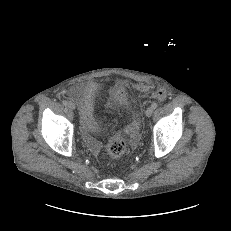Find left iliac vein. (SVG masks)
I'll return each mask as SVG.
<instances>
[{
	"label": "left iliac vein",
	"instance_id": "left-iliac-vein-1",
	"mask_svg": "<svg viewBox=\"0 0 231 231\" xmlns=\"http://www.w3.org/2000/svg\"><path fill=\"white\" fill-rule=\"evenodd\" d=\"M153 108L150 106V107H148L147 109H146V111H145V114H146V116L147 117H151V115L153 114Z\"/></svg>",
	"mask_w": 231,
	"mask_h": 231
}]
</instances>
